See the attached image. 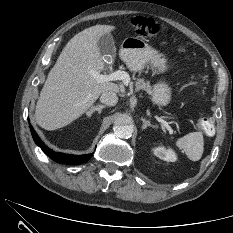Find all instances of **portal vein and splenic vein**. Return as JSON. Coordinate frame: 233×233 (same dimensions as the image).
<instances>
[{
  "mask_svg": "<svg viewBox=\"0 0 233 233\" xmlns=\"http://www.w3.org/2000/svg\"><path fill=\"white\" fill-rule=\"evenodd\" d=\"M89 73H90V75H92L94 77V79L98 83L121 80V81H123L124 84H128L129 80H130L128 73L125 71H121V70H117V71L112 72V73L107 74V75H102V74H100L96 71H93V70H91ZM156 119L158 122H160L163 126L166 127V129L169 131V133H171V134L173 133V130L167 121H165L164 119H162L158 116H156Z\"/></svg>",
  "mask_w": 233,
  "mask_h": 233,
  "instance_id": "1",
  "label": "portal vein and splenic vein"
}]
</instances>
